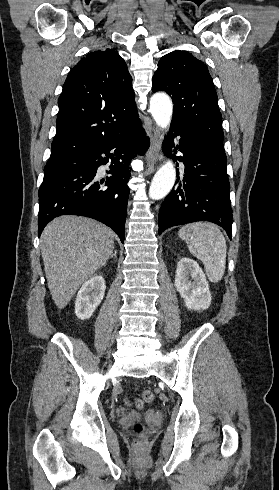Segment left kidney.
<instances>
[{"instance_id":"1","label":"left kidney","mask_w":279,"mask_h":490,"mask_svg":"<svg viewBox=\"0 0 279 490\" xmlns=\"http://www.w3.org/2000/svg\"><path fill=\"white\" fill-rule=\"evenodd\" d=\"M175 288L188 310H207L211 304V294L204 272L195 260L182 258L177 264Z\"/></svg>"}]
</instances>
